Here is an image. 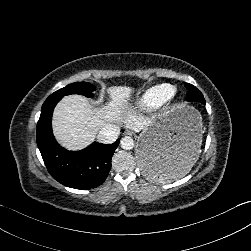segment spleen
Wrapping results in <instances>:
<instances>
[{"instance_id":"obj_1","label":"spleen","mask_w":251,"mask_h":251,"mask_svg":"<svg viewBox=\"0 0 251 251\" xmlns=\"http://www.w3.org/2000/svg\"><path fill=\"white\" fill-rule=\"evenodd\" d=\"M195 159H191L190 161H183L179 169L171 174L169 170L158 163L151 162L149 163V176H147L148 179L156 178V179H161L163 181H168L171 179H177L185 176L192 168L194 165Z\"/></svg>"}]
</instances>
